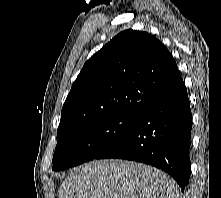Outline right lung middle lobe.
<instances>
[{"instance_id":"obj_1","label":"right lung middle lobe","mask_w":221,"mask_h":198,"mask_svg":"<svg viewBox=\"0 0 221 198\" xmlns=\"http://www.w3.org/2000/svg\"><path fill=\"white\" fill-rule=\"evenodd\" d=\"M139 116L127 113L114 114L59 135L52 169L61 171L95 159L128 134Z\"/></svg>"}]
</instances>
